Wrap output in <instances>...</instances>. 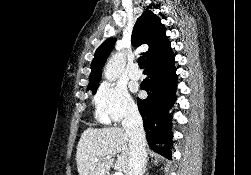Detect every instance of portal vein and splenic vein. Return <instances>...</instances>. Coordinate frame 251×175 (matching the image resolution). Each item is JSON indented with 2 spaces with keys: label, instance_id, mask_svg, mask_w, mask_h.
<instances>
[{
  "label": "portal vein and splenic vein",
  "instance_id": "18ae733b",
  "mask_svg": "<svg viewBox=\"0 0 251 175\" xmlns=\"http://www.w3.org/2000/svg\"><path fill=\"white\" fill-rule=\"evenodd\" d=\"M112 155H106V157H102V159H111ZM95 161H99V157H95ZM113 175H123L122 169H118V171H115Z\"/></svg>",
  "mask_w": 251,
  "mask_h": 175
}]
</instances>
